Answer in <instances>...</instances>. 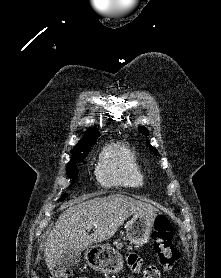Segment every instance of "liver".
<instances>
[{
  "label": "liver",
  "instance_id": "6515ba94",
  "mask_svg": "<svg viewBox=\"0 0 221 278\" xmlns=\"http://www.w3.org/2000/svg\"><path fill=\"white\" fill-rule=\"evenodd\" d=\"M69 203L49 233L44 245L45 262L53 270L65 250L82 252L94 243L110 239L131 215L153 213L155 208L122 194ZM95 230L88 235V225Z\"/></svg>",
  "mask_w": 221,
  "mask_h": 278
}]
</instances>
